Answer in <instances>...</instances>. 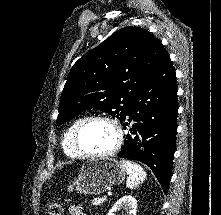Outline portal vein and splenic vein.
<instances>
[{
  "label": "portal vein and splenic vein",
  "instance_id": "obj_1",
  "mask_svg": "<svg viewBox=\"0 0 221 215\" xmlns=\"http://www.w3.org/2000/svg\"><path fill=\"white\" fill-rule=\"evenodd\" d=\"M108 196H111V194H108ZM105 199H107V196H104Z\"/></svg>",
  "mask_w": 221,
  "mask_h": 215
}]
</instances>
